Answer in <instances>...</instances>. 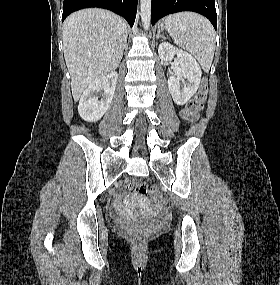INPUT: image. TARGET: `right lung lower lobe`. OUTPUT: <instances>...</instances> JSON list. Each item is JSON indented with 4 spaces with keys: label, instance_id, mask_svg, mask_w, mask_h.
<instances>
[{
    "label": "right lung lower lobe",
    "instance_id": "98d812e1",
    "mask_svg": "<svg viewBox=\"0 0 280 285\" xmlns=\"http://www.w3.org/2000/svg\"><path fill=\"white\" fill-rule=\"evenodd\" d=\"M137 2L138 0H64L62 22L74 11L99 7L121 15L132 27L136 17Z\"/></svg>",
    "mask_w": 280,
    "mask_h": 285
}]
</instances>
